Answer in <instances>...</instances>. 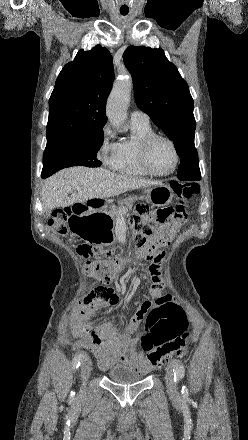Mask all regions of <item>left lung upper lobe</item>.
I'll return each instance as SVG.
<instances>
[{"label":"left lung upper lobe","mask_w":248,"mask_h":440,"mask_svg":"<svg viewBox=\"0 0 248 440\" xmlns=\"http://www.w3.org/2000/svg\"><path fill=\"white\" fill-rule=\"evenodd\" d=\"M132 74L137 106L174 142L181 157L178 178H201L194 146L196 122L193 99L176 66L159 48L130 46L123 54Z\"/></svg>","instance_id":"1"}]
</instances>
